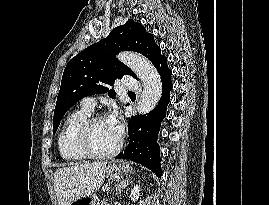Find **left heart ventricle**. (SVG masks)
<instances>
[{"instance_id": "b2bd125f", "label": "left heart ventricle", "mask_w": 269, "mask_h": 205, "mask_svg": "<svg viewBox=\"0 0 269 205\" xmlns=\"http://www.w3.org/2000/svg\"><path fill=\"white\" fill-rule=\"evenodd\" d=\"M118 139L108 127L105 119L97 122L90 132V144L93 150L99 153L112 150L116 146Z\"/></svg>"}]
</instances>
